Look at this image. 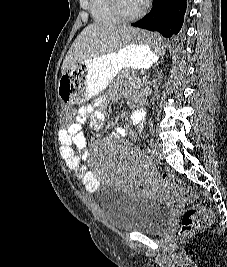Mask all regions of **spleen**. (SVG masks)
Segmentation results:
<instances>
[{
  "label": "spleen",
  "instance_id": "spleen-1",
  "mask_svg": "<svg viewBox=\"0 0 227 267\" xmlns=\"http://www.w3.org/2000/svg\"><path fill=\"white\" fill-rule=\"evenodd\" d=\"M157 31H144L143 33H130L133 43H144V47H152L154 55H167L168 46H162L161 38H155Z\"/></svg>",
  "mask_w": 227,
  "mask_h": 267
}]
</instances>
